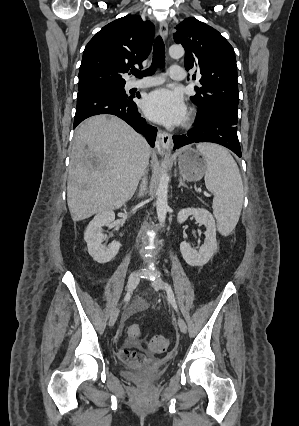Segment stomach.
Masks as SVG:
<instances>
[{
    "instance_id": "obj_1",
    "label": "stomach",
    "mask_w": 299,
    "mask_h": 426,
    "mask_svg": "<svg viewBox=\"0 0 299 426\" xmlns=\"http://www.w3.org/2000/svg\"><path fill=\"white\" fill-rule=\"evenodd\" d=\"M207 166L205 156L191 147L183 149L178 156L180 175L187 181L200 180L206 174Z\"/></svg>"
}]
</instances>
